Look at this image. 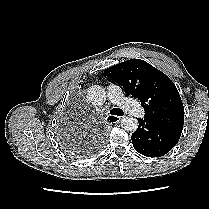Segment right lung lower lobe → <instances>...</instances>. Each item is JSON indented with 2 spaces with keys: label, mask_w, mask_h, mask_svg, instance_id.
Returning <instances> with one entry per match:
<instances>
[{
  "label": "right lung lower lobe",
  "mask_w": 209,
  "mask_h": 209,
  "mask_svg": "<svg viewBox=\"0 0 209 209\" xmlns=\"http://www.w3.org/2000/svg\"><path fill=\"white\" fill-rule=\"evenodd\" d=\"M95 140L96 143H98V145H101L102 142H103V137L101 134L97 133L94 137H93ZM94 147H90V146H87L84 148V151L85 152H92L94 149ZM80 150V149H79Z\"/></svg>",
  "instance_id": "1"
}]
</instances>
